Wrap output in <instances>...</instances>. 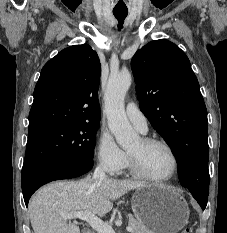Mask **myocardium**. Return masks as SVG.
Wrapping results in <instances>:
<instances>
[{
  "label": "myocardium",
  "instance_id": "1",
  "mask_svg": "<svg viewBox=\"0 0 227 233\" xmlns=\"http://www.w3.org/2000/svg\"><path fill=\"white\" fill-rule=\"evenodd\" d=\"M140 140L144 146L161 145V146L165 147L172 157L173 168H172V171L170 172V174L167 176H164V177L152 176L144 171V169L141 167L137 158L132 153H130L128 151V153H127L128 154V163H129V167H130L131 171L136 176H138L142 179L148 180V181H153V182H165V181H169L172 178H174L178 172L179 159H178V156H177L175 150L173 149V147L165 140L155 138V137H142Z\"/></svg>",
  "mask_w": 227,
  "mask_h": 233
}]
</instances>
